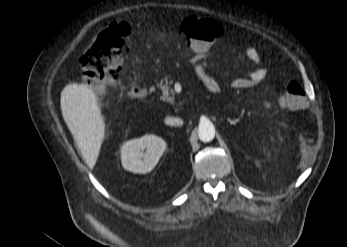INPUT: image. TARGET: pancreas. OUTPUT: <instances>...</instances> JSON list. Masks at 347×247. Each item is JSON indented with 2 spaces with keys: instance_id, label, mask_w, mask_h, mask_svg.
<instances>
[{
  "instance_id": "1",
  "label": "pancreas",
  "mask_w": 347,
  "mask_h": 247,
  "mask_svg": "<svg viewBox=\"0 0 347 247\" xmlns=\"http://www.w3.org/2000/svg\"><path fill=\"white\" fill-rule=\"evenodd\" d=\"M172 84V81L168 80L165 78L164 80H161L158 84L157 87H159L162 90V95L160 96V99L166 102H169L171 104H174L175 101V92L174 90L170 87ZM180 104V103H179Z\"/></svg>"
}]
</instances>
